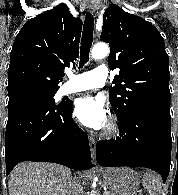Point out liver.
Listing matches in <instances>:
<instances>
[{"instance_id": "6515ba94", "label": "liver", "mask_w": 178, "mask_h": 195, "mask_svg": "<svg viewBox=\"0 0 178 195\" xmlns=\"http://www.w3.org/2000/svg\"><path fill=\"white\" fill-rule=\"evenodd\" d=\"M72 180L67 167L23 162L10 173L9 195H69Z\"/></svg>"}]
</instances>
